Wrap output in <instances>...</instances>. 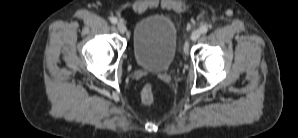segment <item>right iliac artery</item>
Segmentation results:
<instances>
[{
  "label": "right iliac artery",
  "mask_w": 298,
  "mask_h": 138,
  "mask_svg": "<svg viewBox=\"0 0 298 138\" xmlns=\"http://www.w3.org/2000/svg\"><path fill=\"white\" fill-rule=\"evenodd\" d=\"M110 21H111V23L116 24L118 20H117L116 17H112V18L110 19Z\"/></svg>",
  "instance_id": "right-iliac-artery-1"
}]
</instances>
